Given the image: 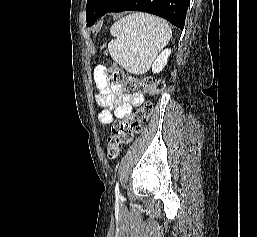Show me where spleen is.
I'll list each match as a JSON object with an SVG mask.
<instances>
[{
  "label": "spleen",
  "mask_w": 257,
  "mask_h": 237,
  "mask_svg": "<svg viewBox=\"0 0 257 237\" xmlns=\"http://www.w3.org/2000/svg\"><path fill=\"white\" fill-rule=\"evenodd\" d=\"M110 32L115 37L108 44L111 57L133 74L147 72L172 36L166 21L145 13L123 17Z\"/></svg>",
  "instance_id": "3e777b00"
}]
</instances>
